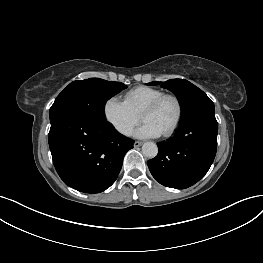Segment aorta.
<instances>
[{
  "label": "aorta",
  "instance_id": "aorta-1",
  "mask_svg": "<svg viewBox=\"0 0 263 263\" xmlns=\"http://www.w3.org/2000/svg\"><path fill=\"white\" fill-rule=\"evenodd\" d=\"M142 153L144 156H146L148 158H154L157 156L158 147L153 142H146L142 146Z\"/></svg>",
  "mask_w": 263,
  "mask_h": 263
}]
</instances>
